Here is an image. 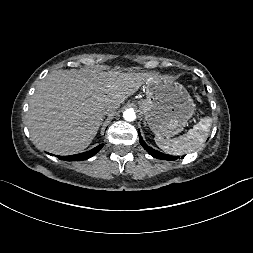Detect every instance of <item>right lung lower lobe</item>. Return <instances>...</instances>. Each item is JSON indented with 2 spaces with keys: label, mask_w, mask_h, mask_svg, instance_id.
Segmentation results:
<instances>
[{
  "label": "right lung lower lobe",
  "mask_w": 253,
  "mask_h": 253,
  "mask_svg": "<svg viewBox=\"0 0 253 253\" xmlns=\"http://www.w3.org/2000/svg\"><path fill=\"white\" fill-rule=\"evenodd\" d=\"M101 149H102V144L84 153L70 155V156H58V158L61 160H66V161H82L94 156Z\"/></svg>",
  "instance_id": "1"
}]
</instances>
